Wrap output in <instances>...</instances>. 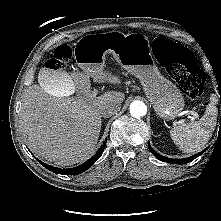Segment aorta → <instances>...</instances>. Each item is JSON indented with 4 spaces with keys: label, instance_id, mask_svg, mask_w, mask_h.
Listing matches in <instances>:
<instances>
[{
    "label": "aorta",
    "instance_id": "1",
    "mask_svg": "<svg viewBox=\"0 0 221 221\" xmlns=\"http://www.w3.org/2000/svg\"><path fill=\"white\" fill-rule=\"evenodd\" d=\"M147 107L142 101H134L130 105V114L135 117L139 118L146 114Z\"/></svg>",
    "mask_w": 221,
    "mask_h": 221
}]
</instances>
